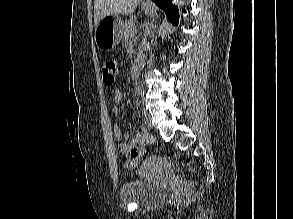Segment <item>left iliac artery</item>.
Returning a JSON list of instances; mask_svg holds the SVG:
<instances>
[{
  "instance_id": "left-iliac-artery-1",
  "label": "left iliac artery",
  "mask_w": 293,
  "mask_h": 219,
  "mask_svg": "<svg viewBox=\"0 0 293 219\" xmlns=\"http://www.w3.org/2000/svg\"><path fill=\"white\" fill-rule=\"evenodd\" d=\"M144 92L142 91V89H138L137 90V95L139 96H143Z\"/></svg>"
}]
</instances>
